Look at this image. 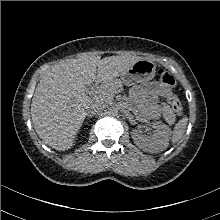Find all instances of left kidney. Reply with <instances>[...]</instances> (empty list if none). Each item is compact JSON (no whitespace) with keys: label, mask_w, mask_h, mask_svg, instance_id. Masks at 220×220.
<instances>
[{"label":"left kidney","mask_w":220,"mask_h":220,"mask_svg":"<svg viewBox=\"0 0 220 220\" xmlns=\"http://www.w3.org/2000/svg\"><path fill=\"white\" fill-rule=\"evenodd\" d=\"M152 127L156 133L147 137L139 134L136 130L132 132L134 142L143 150L158 153L165 150L170 139V129L167 125L160 122H153Z\"/></svg>","instance_id":"left-kidney-1"}]
</instances>
